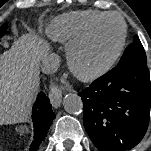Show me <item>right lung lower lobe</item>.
<instances>
[{
  "instance_id": "obj_1",
  "label": "right lung lower lobe",
  "mask_w": 151,
  "mask_h": 151,
  "mask_svg": "<svg viewBox=\"0 0 151 151\" xmlns=\"http://www.w3.org/2000/svg\"><path fill=\"white\" fill-rule=\"evenodd\" d=\"M54 118L55 113L52 111L48 97L43 92H40L33 106L34 141L29 151H37L39 149Z\"/></svg>"
}]
</instances>
